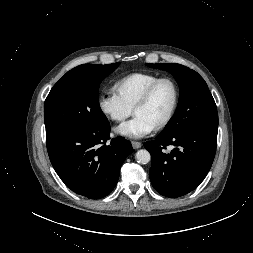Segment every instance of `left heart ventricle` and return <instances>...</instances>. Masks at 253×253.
Listing matches in <instances>:
<instances>
[{
  "mask_svg": "<svg viewBox=\"0 0 253 253\" xmlns=\"http://www.w3.org/2000/svg\"><path fill=\"white\" fill-rule=\"evenodd\" d=\"M173 99L172 85L169 82H162L157 86L149 101L137 108L135 115L142 116L155 127L170 111Z\"/></svg>",
  "mask_w": 253,
  "mask_h": 253,
  "instance_id": "b2bd125f",
  "label": "left heart ventricle"
}]
</instances>
